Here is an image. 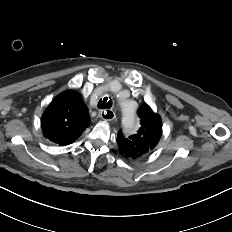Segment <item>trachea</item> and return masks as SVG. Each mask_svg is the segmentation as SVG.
<instances>
[{
    "mask_svg": "<svg viewBox=\"0 0 232 232\" xmlns=\"http://www.w3.org/2000/svg\"><path fill=\"white\" fill-rule=\"evenodd\" d=\"M112 107V100L108 97H104L103 99H100L98 102V108L105 109V108H111Z\"/></svg>",
    "mask_w": 232,
    "mask_h": 232,
    "instance_id": "trachea-1",
    "label": "trachea"
}]
</instances>
